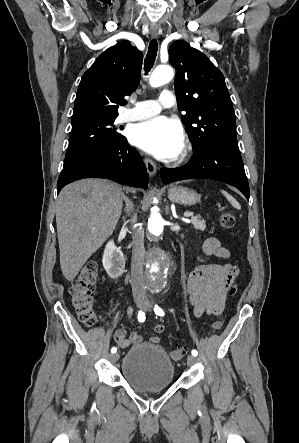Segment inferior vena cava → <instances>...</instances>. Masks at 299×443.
Returning <instances> with one entry per match:
<instances>
[{"label":"inferior vena cava","mask_w":299,"mask_h":443,"mask_svg":"<svg viewBox=\"0 0 299 443\" xmlns=\"http://www.w3.org/2000/svg\"><path fill=\"white\" fill-rule=\"evenodd\" d=\"M136 215L131 219L132 224L136 223ZM144 233L141 229L135 228L132 237V260H131V285L134 297H145L146 285L144 280Z\"/></svg>","instance_id":"inferior-vena-cava-1"}]
</instances>
